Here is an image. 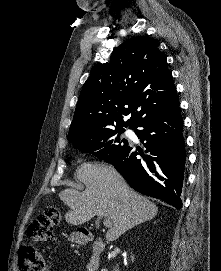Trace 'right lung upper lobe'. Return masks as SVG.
<instances>
[{
	"instance_id": "cb5924a9",
	"label": "right lung upper lobe",
	"mask_w": 221,
	"mask_h": 271,
	"mask_svg": "<svg viewBox=\"0 0 221 271\" xmlns=\"http://www.w3.org/2000/svg\"><path fill=\"white\" fill-rule=\"evenodd\" d=\"M172 74L158 43L146 36L122 43L110 63L98 64L82 87L68 140L143 118L178 103ZM131 113L124 122L123 116Z\"/></svg>"
}]
</instances>
